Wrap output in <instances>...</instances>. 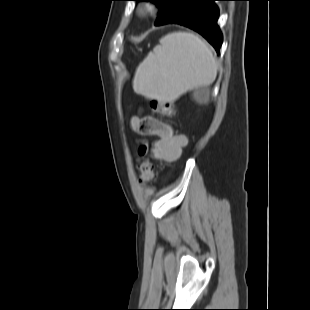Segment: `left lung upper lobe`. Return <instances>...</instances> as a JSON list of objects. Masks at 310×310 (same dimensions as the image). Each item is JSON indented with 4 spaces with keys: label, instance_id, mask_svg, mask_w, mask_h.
I'll list each match as a JSON object with an SVG mask.
<instances>
[{
    "label": "left lung upper lobe",
    "instance_id": "1",
    "mask_svg": "<svg viewBox=\"0 0 310 310\" xmlns=\"http://www.w3.org/2000/svg\"><path fill=\"white\" fill-rule=\"evenodd\" d=\"M156 2L161 10L156 20V25H165L171 23L180 10L183 8L186 0H137Z\"/></svg>",
    "mask_w": 310,
    "mask_h": 310
}]
</instances>
